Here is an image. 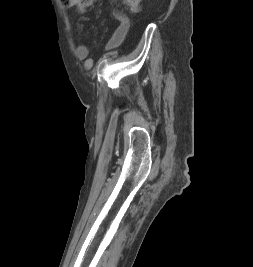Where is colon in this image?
Returning a JSON list of instances; mask_svg holds the SVG:
<instances>
[{
	"label": "colon",
	"instance_id": "1",
	"mask_svg": "<svg viewBox=\"0 0 253 267\" xmlns=\"http://www.w3.org/2000/svg\"><path fill=\"white\" fill-rule=\"evenodd\" d=\"M67 6L72 5H91L97 0H62ZM125 11L128 13H137L140 10L142 0H122Z\"/></svg>",
	"mask_w": 253,
	"mask_h": 267
}]
</instances>
